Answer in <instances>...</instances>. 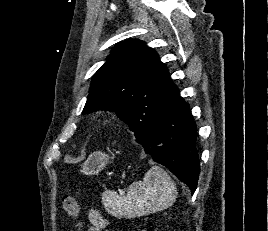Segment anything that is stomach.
Instances as JSON below:
<instances>
[{
    "instance_id": "stomach-1",
    "label": "stomach",
    "mask_w": 268,
    "mask_h": 231,
    "mask_svg": "<svg viewBox=\"0 0 268 231\" xmlns=\"http://www.w3.org/2000/svg\"><path fill=\"white\" fill-rule=\"evenodd\" d=\"M110 159H113V157H109L106 153L94 152L82 164L81 172L86 175L97 174L106 167Z\"/></svg>"
}]
</instances>
